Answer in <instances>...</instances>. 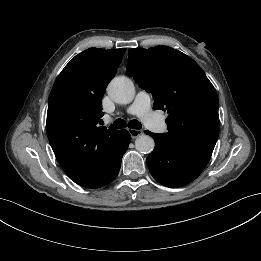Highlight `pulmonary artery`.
<instances>
[{
    "label": "pulmonary artery",
    "mask_w": 261,
    "mask_h": 261,
    "mask_svg": "<svg viewBox=\"0 0 261 261\" xmlns=\"http://www.w3.org/2000/svg\"><path fill=\"white\" fill-rule=\"evenodd\" d=\"M127 113L137 115L143 123L153 130L162 128L161 121L151 109V97L146 91H139L134 102L128 107Z\"/></svg>",
    "instance_id": "pulmonary-artery-1"
}]
</instances>
